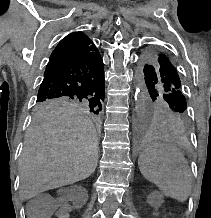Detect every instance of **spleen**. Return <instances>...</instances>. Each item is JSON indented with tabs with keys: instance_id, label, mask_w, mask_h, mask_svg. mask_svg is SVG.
<instances>
[{
	"instance_id": "1",
	"label": "spleen",
	"mask_w": 211,
	"mask_h": 218,
	"mask_svg": "<svg viewBox=\"0 0 211 218\" xmlns=\"http://www.w3.org/2000/svg\"><path fill=\"white\" fill-rule=\"evenodd\" d=\"M139 170L153 182L164 196L186 202L192 190V174L187 160L180 152L147 148L139 156Z\"/></svg>"
}]
</instances>
